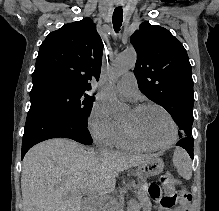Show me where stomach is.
<instances>
[{"instance_id":"1","label":"stomach","mask_w":219,"mask_h":211,"mask_svg":"<svg viewBox=\"0 0 219 211\" xmlns=\"http://www.w3.org/2000/svg\"><path fill=\"white\" fill-rule=\"evenodd\" d=\"M164 169V162L160 158L153 157L149 161L140 164L135 169V175L137 176V180L139 182V187L142 188L147 179L156 176L160 173H162ZM144 201V204H147V199L142 198Z\"/></svg>"}]
</instances>
